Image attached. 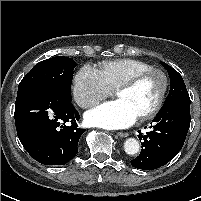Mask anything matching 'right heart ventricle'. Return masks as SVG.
Masks as SVG:
<instances>
[{
	"mask_svg": "<svg viewBox=\"0 0 201 201\" xmlns=\"http://www.w3.org/2000/svg\"><path fill=\"white\" fill-rule=\"evenodd\" d=\"M152 68L151 65L136 59L121 58L103 62L99 67L104 81L111 89H116L120 83L133 74Z\"/></svg>",
	"mask_w": 201,
	"mask_h": 201,
	"instance_id": "1",
	"label": "right heart ventricle"
}]
</instances>
